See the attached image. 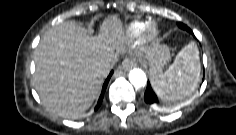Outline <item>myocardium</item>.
Listing matches in <instances>:
<instances>
[{
	"mask_svg": "<svg viewBox=\"0 0 236 135\" xmlns=\"http://www.w3.org/2000/svg\"><path fill=\"white\" fill-rule=\"evenodd\" d=\"M160 33L159 24L155 19H150L145 23L144 29L142 31V44L150 45L153 44Z\"/></svg>",
	"mask_w": 236,
	"mask_h": 135,
	"instance_id": "1",
	"label": "myocardium"
}]
</instances>
